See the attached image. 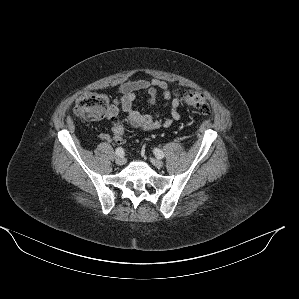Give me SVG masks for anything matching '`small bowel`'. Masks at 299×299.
<instances>
[{
  "mask_svg": "<svg viewBox=\"0 0 299 299\" xmlns=\"http://www.w3.org/2000/svg\"><path fill=\"white\" fill-rule=\"evenodd\" d=\"M140 91H146L149 99L148 103L154 105L157 102V96L160 92L164 99V108L169 109L168 116L156 114H143L139 112L134 105L136 95ZM119 96L114 98L110 103L106 119L114 120L119 111L122 110L127 114L128 123L135 129L142 131L156 130L160 128H169L181 118L180 91L177 87H171L167 82L159 79H138L127 81L119 85ZM101 138L105 141L114 140L121 143L119 138L112 137L110 134L103 133Z\"/></svg>",
  "mask_w": 299,
  "mask_h": 299,
  "instance_id": "1",
  "label": "small bowel"
}]
</instances>
